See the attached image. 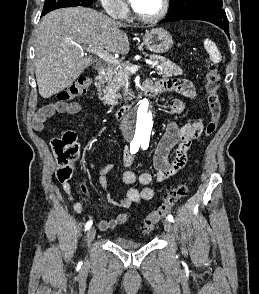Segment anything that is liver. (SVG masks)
<instances>
[{
	"label": "liver",
	"mask_w": 259,
	"mask_h": 294,
	"mask_svg": "<svg viewBox=\"0 0 259 294\" xmlns=\"http://www.w3.org/2000/svg\"><path fill=\"white\" fill-rule=\"evenodd\" d=\"M123 24L96 10L62 8L48 13L35 30V74L39 94L49 98L71 86L94 63L86 45L125 55L130 50Z\"/></svg>",
	"instance_id": "6515ba94"
}]
</instances>
